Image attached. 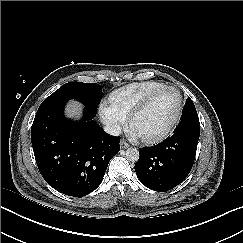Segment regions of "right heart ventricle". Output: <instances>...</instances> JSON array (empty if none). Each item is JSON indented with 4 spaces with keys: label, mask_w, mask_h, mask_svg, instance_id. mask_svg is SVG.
<instances>
[{
    "label": "right heart ventricle",
    "mask_w": 243,
    "mask_h": 243,
    "mask_svg": "<svg viewBox=\"0 0 243 243\" xmlns=\"http://www.w3.org/2000/svg\"><path fill=\"white\" fill-rule=\"evenodd\" d=\"M166 87L158 80H146L128 84L109 97L110 109L123 119L128 117L131 111L146 97Z\"/></svg>",
    "instance_id": "1"
}]
</instances>
